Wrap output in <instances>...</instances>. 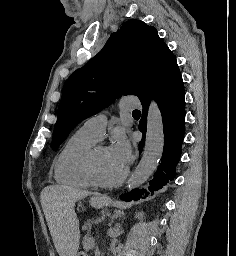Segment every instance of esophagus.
I'll return each instance as SVG.
<instances>
[{"instance_id": "esophagus-1", "label": "esophagus", "mask_w": 236, "mask_h": 256, "mask_svg": "<svg viewBox=\"0 0 236 256\" xmlns=\"http://www.w3.org/2000/svg\"><path fill=\"white\" fill-rule=\"evenodd\" d=\"M109 196H110V193H104L100 195V197H103V198H108Z\"/></svg>"}]
</instances>
